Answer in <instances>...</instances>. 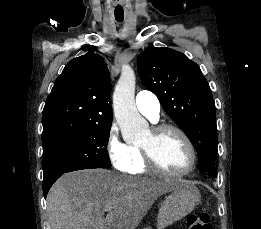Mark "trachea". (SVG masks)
<instances>
[{
  "label": "trachea",
  "mask_w": 261,
  "mask_h": 229,
  "mask_svg": "<svg viewBox=\"0 0 261 229\" xmlns=\"http://www.w3.org/2000/svg\"><path fill=\"white\" fill-rule=\"evenodd\" d=\"M115 19L117 20V22H122L124 20L123 17H115Z\"/></svg>",
  "instance_id": "trachea-1"
}]
</instances>
